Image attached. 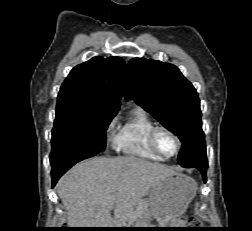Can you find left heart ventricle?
<instances>
[{
    "mask_svg": "<svg viewBox=\"0 0 252 231\" xmlns=\"http://www.w3.org/2000/svg\"><path fill=\"white\" fill-rule=\"evenodd\" d=\"M157 146L163 155L170 156L175 152L177 143L170 134L161 131L157 135Z\"/></svg>",
    "mask_w": 252,
    "mask_h": 231,
    "instance_id": "b2bd125f",
    "label": "left heart ventricle"
}]
</instances>
